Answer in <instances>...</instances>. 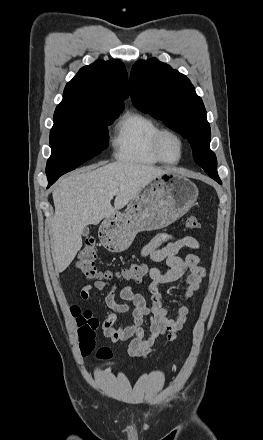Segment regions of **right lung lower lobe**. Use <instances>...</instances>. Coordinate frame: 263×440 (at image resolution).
Returning a JSON list of instances; mask_svg holds the SVG:
<instances>
[{
	"label": "right lung lower lobe",
	"mask_w": 263,
	"mask_h": 440,
	"mask_svg": "<svg viewBox=\"0 0 263 440\" xmlns=\"http://www.w3.org/2000/svg\"><path fill=\"white\" fill-rule=\"evenodd\" d=\"M55 181H56L55 179L49 181L48 187H49L50 185H52Z\"/></svg>",
	"instance_id": "98d812e1"
}]
</instances>
